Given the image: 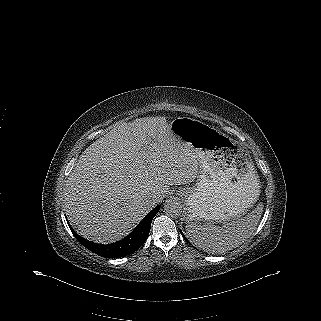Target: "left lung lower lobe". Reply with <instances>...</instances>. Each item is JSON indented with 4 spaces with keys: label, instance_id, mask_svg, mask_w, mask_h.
<instances>
[{
    "label": "left lung lower lobe",
    "instance_id": "left-lung-lower-lobe-1",
    "mask_svg": "<svg viewBox=\"0 0 321 321\" xmlns=\"http://www.w3.org/2000/svg\"><path fill=\"white\" fill-rule=\"evenodd\" d=\"M181 234H182L183 238L188 242V240L185 238V236L183 235V233H182V232H181Z\"/></svg>",
    "mask_w": 321,
    "mask_h": 321
}]
</instances>
